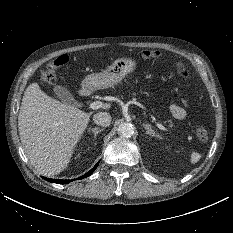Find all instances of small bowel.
Wrapping results in <instances>:
<instances>
[{
  "label": "small bowel",
  "instance_id": "small-bowel-1",
  "mask_svg": "<svg viewBox=\"0 0 233 233\" xmlns=\"http://www.w3.org/2000/svg\"><path fill=\"white\" fill-rule=\"evenodd\" d=\"M169 108H170V112H171L172 116L176 119H179V120L184 119L187 115L186 109L177 105L174 102H172L170 104Z\"/></svg>",
  "mask_w": 233,
  "mask_h": 233
}]
</instances>
